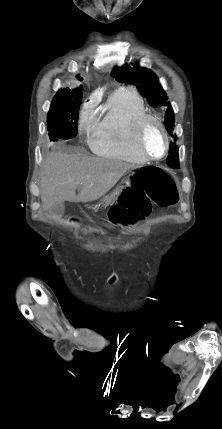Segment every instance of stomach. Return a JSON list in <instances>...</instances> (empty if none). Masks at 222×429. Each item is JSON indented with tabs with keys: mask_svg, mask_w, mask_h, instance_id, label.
<instances>
[{
	"mask_svg": "<svg viewBox=\"0 0 222 429\" xmlns=\"http://www.w3.org/2000/svg\"><path fill=\"white\" fill-rule=\"evenodd\" d=\"M133 175H134V172L129 174L127 176V178L122 182L123 184L118 186L112 193L105 196L101 200V202L98 204V206H100V205L107 206V205L113 203L114 201H116L118 199V197L121 196V190L127 189V186L130 184V181L134 179Z\"/></svg>",
	"mask_w": 222,
	"mask_h": 429,
	"instance_id": "stomach-1",
	"label": "stomach"
}]
</instances>
